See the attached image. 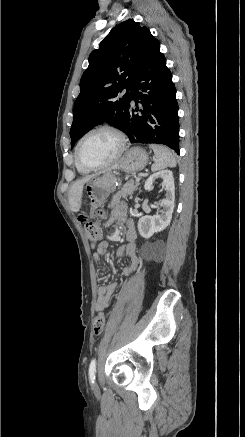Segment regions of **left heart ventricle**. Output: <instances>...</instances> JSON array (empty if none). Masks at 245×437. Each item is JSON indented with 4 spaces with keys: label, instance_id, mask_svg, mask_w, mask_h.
Returning a JSON list of instances; mask_svg holds the SVG:
<instances>
[{
    "label": "left heart ventricle",
    "instance_id": "obj_1",
    "mask_svg": "<svg viewBox=\"0 0 245 437\" xmlns=\"http://www.w3.org/2000/svg\"><path fill=\"white\" fill-rule=\"evenodd\" d=\"M119 148L118 138L109 131H97L82 142L80 155L89 164H103L112 159Z\"/></svg>",
    "mask_w": 245,
    "mask_h": 437
}]
</instances>
